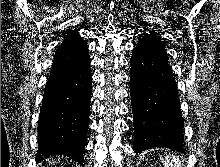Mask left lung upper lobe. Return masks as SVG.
I'll list each match as a JSON object with an SVG mask.
<instances>
[{
	"instance_id": "1",
	"label": "left lung upper lobe",
	"mask_w": 220,
	"mask_h": 167,
	"mask_svg": "<svg viewBox=\"0 0 220 167\" xmlns=\"http://www.w3.org/2000/svg\"><path fill=\"white\" fill-rule=\"evenodd\" d=\"M135 49L166 53L161 37L154 32L142 35Z\"/></svg>"
}]
</instances>
